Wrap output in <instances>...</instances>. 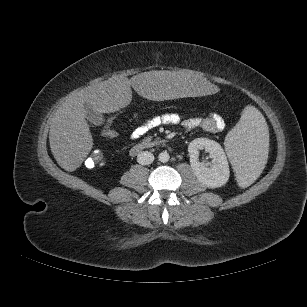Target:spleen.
<instances>
[{
    "label": "spleen",
    "mask_w": 307,
    "mask_h": 307,
    "mask_svg": "<svg viewBox=\"0 0 307 307\" xmlns=\"http://www.w3.org/2000/svg\"><path fill=\"white\" fill-rule=\"evenodd\" d=\"M267 139L268 127L263 115L255 107L246 106L225 143L239 185L244 186L263 176L269 150Z\"/></svg>",
    "instance_id": "spleen-1"
}]
</instances>
